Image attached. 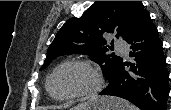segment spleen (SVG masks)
I'll list each match as a JSON object with an SVG mask.
<instances>
[{
	"instance_id": "spleen-1",
	"label": "spleen",
	"mask_w": 171,
	"mask_h": 110,
	"mask_svg": "<svg viewBox=\"0 0 171 110\" xmlns=\"http://www.w3.org/2000/svg\"><path fill=\"white\" fill-rule=\"evenodd\" d=\"M123 108L125 110H138L136 106H134L133 104H129L127 102H124Z\"/></svg>"
}]
</instances>
